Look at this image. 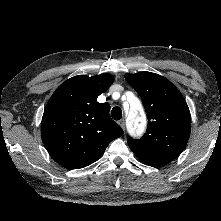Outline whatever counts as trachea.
Instances as JSON below:
<instances>
[{"mask_svg": "<svg viewBox=\"0 0 221 221\" xmlns=\"http://www.w3.org/2000/svg\"><path fill=\"white\" fill-rule=\"evenodd\" d=\"M111 116L114 120H120L122 118V110L120 107H114L111 111Z\"/></svg>", "mask_w": 221, "mask_h": 221, "instance_id": "3493384b", "label": "trachea"}]
</instances>
